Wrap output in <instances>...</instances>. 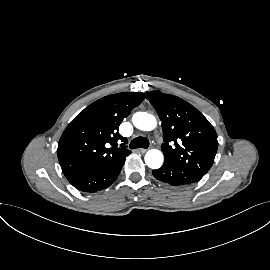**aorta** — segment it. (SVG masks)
I'll return each mask as SVG.
<instances>
[{
	"label": "aorta",
	"instance_id": "762f6f07",
	"mask_svg": "<svg viewBox=\"0 0 270 270\" xmlns=\"http://www.w3.org/2000/svg\"><path fill=\"white\" fill-rule=\"evenodd\" d=\"M134 126L143 131H151L156 128V118L147 112H136L132 117ZM145 163L151 169H158L162 166L164 157L161 151L151 149L145 154Z\"/></svg>",
	"mask_w": 270,
	"mask_h": 270
}]
</instances>
